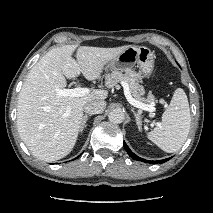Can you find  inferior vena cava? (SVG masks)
<instances>
[{"label":"inferior vena cava","mask_w":213,"mask_h":213,"mask_svg":"<svg viewBox=\"0 0 213 213\" xmlns=\"http://www.w3.org/2000/svg\"><path fill=\"white\" fill-rule=\"evenodd\" d=\"M106 108L105 101H91L84 106V112L88 114H100Z\"/></svg>","instance_id":"602c4592"}]
</instances>
